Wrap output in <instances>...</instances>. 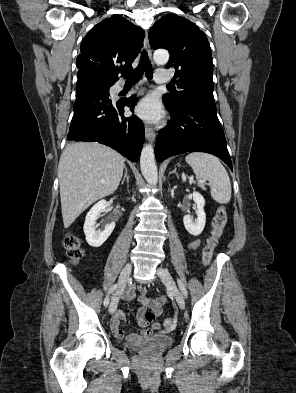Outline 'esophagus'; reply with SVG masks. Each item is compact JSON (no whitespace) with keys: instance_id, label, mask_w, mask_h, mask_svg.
Wrapping results in <instances>:
<instances>
[{"instance_id":"esophagus-1","label":"esophagus","mask_w":296,"mask_h":393,"mask_svg":"<svg viewBox=\"0 0 296 393\" xmlns=\"http://www.w3.org/2000/svg\"><path fill=\"white\" fill-rule=\"evenodd\" d=\"M144 47H145V50L147 51L149 57L151 58L152 52H151V48H150L149 39H148V33L147 32H146L145 39H144ZM155 136H156V134H155L154 129L151 126L146 125L145 126V138L148 141L152 142V141H154Z\"/></svg>"}]
</instances>
